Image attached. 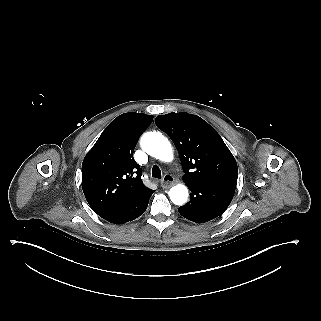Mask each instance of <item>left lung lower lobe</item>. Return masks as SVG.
<instances>
[{
	"instance_id": "0a47b994",
	"label": "left lung lower lobe",
	"mask_w": 321,
	"mask_h": 321,
	"mask_svg": "<svg viewBox=\"0 0 321 321\" xmlns=\"http://www.w3.org/2000/svg\"><path fill=\"white\" fill-rule=\"evenodd\" d=\"M191 200L178 211L186 219L204 223L221 215L229 206L237 185V179H213L186 184Z\"/></svg>"
}]
</instances>
